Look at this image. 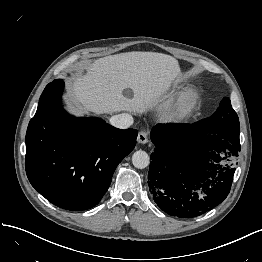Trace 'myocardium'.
Here are the masks:
<instances>
[{"mask_svg":"<svg viewBox=\"0 0 262 262\" xmlns=\"http://www.w3.org/2000/svg\"><path fill=\"white\" fill-rule=\"evenodd\" d=\"M198 99L199 92L196 88L184 89L177 99L165 109L163 120L167 123H179L188 119L192 115Z\"/></svg>","mask_w":262,"mask_h":262,"instance_id":"1","label":"myocardium"}]
</instances>
